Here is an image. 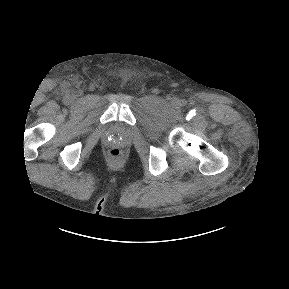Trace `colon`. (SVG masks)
<instances>
[{
    "mask_svg": "<svg viewBox=\"0 0 289 289\" xmlns=\"http://www.w3.org/2000/svg\"><path fill=\"white\" fill-rule=\"evenodd\" d=\"M108 155L112 160L118 161L122 157V151L117 147H113L109 150Z\"/></svg>",
    "mask_w": 289,
    "mask_h": 289,
    "instance_id": "1",
    "label": "colon"
}]
</instances>
